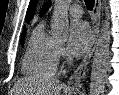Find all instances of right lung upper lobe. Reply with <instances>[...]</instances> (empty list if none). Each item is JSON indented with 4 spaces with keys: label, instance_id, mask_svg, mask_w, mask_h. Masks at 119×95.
I'll return each mask as SVG.
<instances>
[{
    "label": "right lung upper lobe",
    "instance_id": "right-lung-upper-lobe-1",
    "mask_svg": "<svg viewBox=\"0 0 119 95\" xmlns=\"http://www.w3.org/2000/svg\"><path fill=\"white\" fill-rule=\"evenodd\" d=\"M35 5H36V0H31L29 7H28V10H27V13H26V19H25L26 21H29L31 19ZM24 32H26L25 27L23 28V33Z\"/></svg>",
    "mask_w": 119,
    "mask_h": 95
}]
</instances>
